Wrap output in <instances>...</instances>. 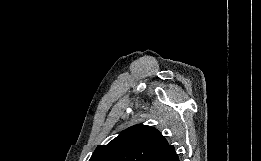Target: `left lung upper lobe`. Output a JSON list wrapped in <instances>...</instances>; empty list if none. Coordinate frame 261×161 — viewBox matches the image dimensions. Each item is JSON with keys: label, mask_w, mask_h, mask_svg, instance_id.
<instances>
[{"label": "left lung upper lobe", "mask_w": 261, "mask_h": 161, "mask_svg": "<svg viewBox=\"0 0 261 161\" xmlns=\"http://www.w3.org/2000/svg\"><path fill=\"white\" fill-rule=\"evenodd\" d=\"M168 146L155 128L135 125L107 145H99L89 161H153Z\"/></svg>", "instance_id": "left-lung-upper-lobe-1"}]
</instances>
